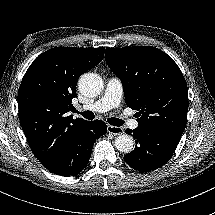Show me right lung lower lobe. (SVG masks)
<instances>
[{
	"mask_svg": "<svg viewBox=\"0 0 215 215\" xmlns=\"http://www.w3.org/2000/svg\"><path fill=\"white\" fill-rule=\"evenodd\" d=\"M106 132L107 125L101 120L79 124L72 130L57 157L45 168L61 176L78 174L88 164L95 140Z\"/></svg>",
	"mask_w": 215,
	"mask_h": 215,
	"instance_id": "98d812e1",
	"label": "right lung lower lobe"
}]
</instances>
